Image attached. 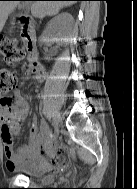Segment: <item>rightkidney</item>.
<instances>
[{
	"label": "right kidney",
	"mask_w": 137,
	"mask_h": 189,
	"mask_svg": "<svg viewBox=\"0 0 137 189\" xmlns=\"http://www.w3.org/2000/svg\"><path fill=\"white\" fill-rule=\"evenodd\" d=\"M73 21L72 16L69 13H61L51 20L47 29L44 31L40 42L45 38L55 36L56 32L60 29L69 27ZM59 44H64L67 40L64 37H60L56 40Z\"/></svg>",
	"instance_id": "1"
}]
</instances>
